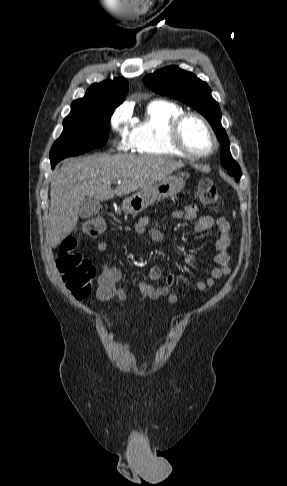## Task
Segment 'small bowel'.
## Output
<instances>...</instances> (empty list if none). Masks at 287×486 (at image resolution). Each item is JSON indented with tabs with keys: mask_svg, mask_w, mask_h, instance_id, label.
Returning <instances> with one entry per match:
<instances>
[{
	"mask_svg": "<svg viewBox=\"0 0 287 486\" xmlns=\"http://www.w3.org/2000/svg\"><path fill=\"white\" fill-rule=\"evenodd\" d=\"M170 216L173 219L195 220L194 228L197 232L207 231L214 226L217 228L218 236L215 240L216 254L214 257L216 266L212 269L207 279L199 280L196 283L197 290L204 291L208 287H212L216 280L230 274L231 268L228 247L230 245L231 229L226 218L220 217L214 220L209 215L198 216V207L196 205H188L184 209L174 210ZM151 219L152 216L150 215L142 216L135 223L134 230L139 234L148 236L153 241H160L163 234L158 228L150 225ZM107 249L108 243L106 241H100L98 243V252L102 253ZM148 278L151 282L140 281L138 283L141 300H158L166 296L170 303L174 304L179 302L180 295L177 292L171 291L176 281L173 274H168L163 278L162 269L159 266H153L148 271ZM162 278L163 283L156 284ZM121 280L122 272L120 269L103 264L98 277V286L95 292L96 298L99 301H107L116 297L120 301H125L127 299V292L120 285Z\"/></svg>",
	"mask_w": 287,
	"mask_h": 486,
	"instance_id": "1",
	"label": "small bowel"
}]
</instances>
